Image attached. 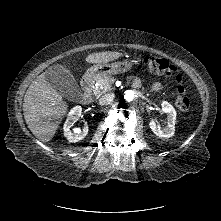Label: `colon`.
I'll use <instances>...</instances> for the list:
<instances>
[{
	"mask_svg": "<svg viewBox=\"0 0 221 221\" xmlns=\"http://www.w3.org/2000/svg\"><path fill=\"white\" fill-rule=\"evenodd\" d=\"M143 64L152 72L162 75V76H174L176 82L178 83L177 87V97H176V106L181 111H188L191 107L190 99L186 95V88L183 85L182 76L177 73V68L170 63L168 60L153 57V56H146L143 58Z\"/></svg>",
	"mask_w": 221,
	"mask_h": 221,
	"instance_id": "5ec220e1",
	"label": "colon"
}]
</instances>
